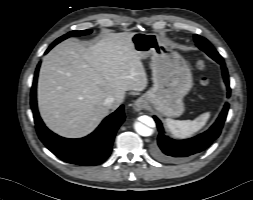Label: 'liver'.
Masks as SVG:
<instances>
[{
  "instance_id": "obj_1",
  "label": "liver",
  "mask_w": 253,
  "mask_h": 200,
  "mask_svg": "<svg viewBox=\"0 0 253 200\" xmlns=\"http://www.w3.org/2000/svg\"><path fill=\"white\" fill-rule=\"evenodd\" d=\"M134 33H108L84 47L73 39L55 46L41 64L37 98L45 124L55 133L80 138L91 133L109 114L104 105L123 102L128 90L146 88L147 75L131 38Z\"/></svg>"
}]
</instances>
